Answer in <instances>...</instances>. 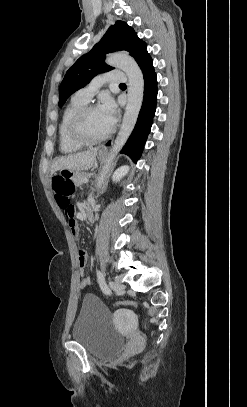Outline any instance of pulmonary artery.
I'll return each mask as SVG.
<instances>
[{"label":"pulmonary artery","mask_w":247,"mask_h":407,"mask_svg":"<svg viewBox=\"0 0 247 407\" xmlns=\"http://www.w3.org/2000/svg\"><path fill=\"white\" fill-rule=\"evenodd\" d=\"M126 79V75L121 71H111L98 75L87 86L76 91L73 97L87 103L105 82L124 83Z\"/></svg>","instance_id":"obj_1"}]
</instances>
